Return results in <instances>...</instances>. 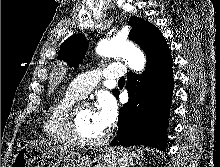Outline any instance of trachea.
<instances>
[{"mask_svg": "<svg viewBox=\"0 0 220 167\" xmlns=\"http://www.w3.org/2000/svg\"><path fill=\"white\" fill-rule=\"evenodd\" d=\"M118 83H125V78L124 77L120 78Z\"/></svg>", "mask_w": 220, "mask_h": 167, "instance_id": "trachea-1", "label": "trachea"}]
</instances>
